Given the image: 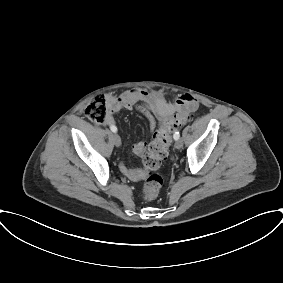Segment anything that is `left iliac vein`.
Returning <instances> with one entry per match:
<instances>
[{
    "mask_svg": "<svg viewBox=\"0 0 283 283\" xmlns=\"http://www.w3.org/2000/svg\"><path fill=\"white\" fill-rule=\"evenodd\" d=\"M174 146H175L176 149H181V148L183 147V142H182V140H181V139L176 140Z\"/></svg>",
    "mask_w": 283,
    "mask_h": 283,
    "instance_id": "left-iliac-vein-1",
    "label": "left iliac vein"
}]
</instances>
